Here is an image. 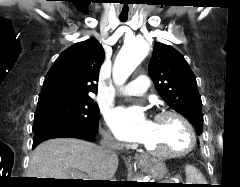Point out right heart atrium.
<instances>
[{"label":"right heart atrium","mask_w":240,"mask_h":187,"mask_svg":"<svg viewBox=\"0 0 240 187\" xmlns=\"http://www.w3.org/2000/svg\"><path fill=\"white\" fill-rule=\"evenodd\" d=\"M103 139L109 145H113V146H119L120 145L119 140L112 134V132H110L108 130H105L103 132Z\"/></svg>","instance_id":"d8ad5b80"}]
</instances>
